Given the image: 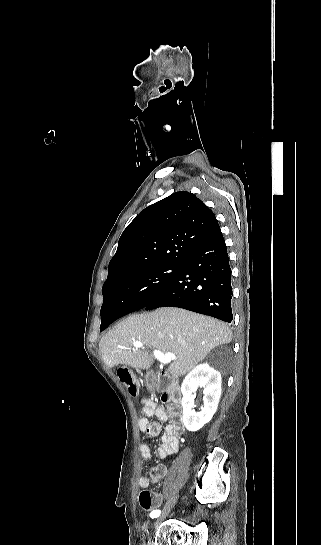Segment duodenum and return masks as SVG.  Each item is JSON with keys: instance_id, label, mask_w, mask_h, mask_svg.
Instances as JSON below:
<instances>
[{"instance_id": "410a0bca", "label": "duodenum", "mask_w": 321, "mask_h": 545, "mask_svg": "<svg viewBox=\"0 0 321 545\" xmlns=\"http://www.w3.org/2000/svg\"><path fill=\"white\" fill-rule=\"evenodd\" d=\"M147 383L152 389L160 392L163 402L179 404L181 400L179 386L165 375L150 372L147 375Z\"/></svg>"}]
</instances>
